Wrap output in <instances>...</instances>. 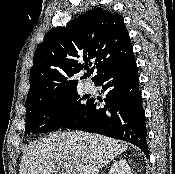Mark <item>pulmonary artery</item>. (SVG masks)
Masks as SVG:
<instances>
[{
    "mask_svg": "<svg viewBox=\"0 0 175 174\" xmlns=\"http://www.w3.org/2000/svg\"><path fill=\"white\" fill-rule=\"evenodd\" d=\"M94 89V86L91 83H86L85 84V90L90 92Z\"/></svg>",
    "mask_w": 175,
    "mask_h": 174,
    "instance_id": "pulmonary-artery-1",
    "label": "pulmonary artery"
}]
</instances>
